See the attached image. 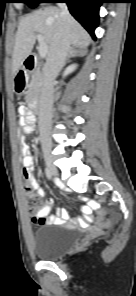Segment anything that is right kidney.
I'll return each mask as SVG.
<instances>
[{
    "mask_svg": "<svg viewBox=\"0 0 136 296\" xmlns=\"http://www.w3.org/2000/svg\"><path fill=\"white\" fill-rule=\"evenodd\" d=\"M76 67H77L76 64H72V65L68 66L66 68V70L64 71V73H63V77H66L67 75H69L70 73H72L73 71H75Z\"/></svg>",
    "mask_w": 136,
    "mask_h": 296,
    "instance_id": "obj_1",
    "label": "right kidney"
}]
</instances>
